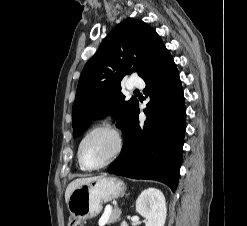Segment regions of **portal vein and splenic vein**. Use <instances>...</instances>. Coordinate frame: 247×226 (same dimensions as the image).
Instances as JSON below:
<instances>
[{
  "instance_id": "18ae733b",
  "label": "portal vein and splenic vein",
  "mask_w": 247,
  "mask_h": 226,
  "mask_svg": "<svg viewBox=\"0 0 247 226\" xmlns=\"http://www.w3.org/2000/svg\"><path fill=\"white\" fill-rule=\"evenodd\" d=\"M106 211H107V212H111V211H112V208H111L110 206H107V207H106Z\"/></svg>"
}]
</instances>
